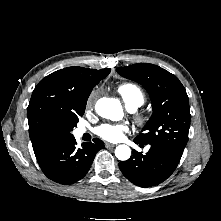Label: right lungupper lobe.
Here are the masks:
<instances>
[{
    "label": "right lung upper lobe",
    "mask_w": 221,
    "mask_h": 221,
    "mask_svg": "<svg viewBox=\"0 0 221 221\" xmlns=\"http://www.w3.org/2000/svg\"><path fill=\"white\" fill-rule=\"evenodd\" d=\"M110 70L68 67L53 72L37 84L28 106L29 136L36 158L69 137L71 116L86 105L92 89Z\"/></svg>",
    "instance_id": "1"
}]
</instances>
